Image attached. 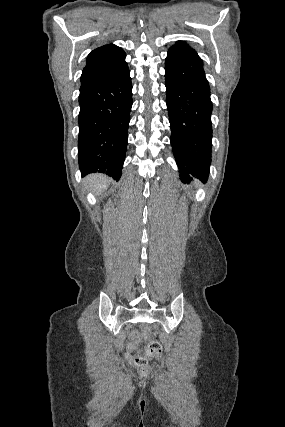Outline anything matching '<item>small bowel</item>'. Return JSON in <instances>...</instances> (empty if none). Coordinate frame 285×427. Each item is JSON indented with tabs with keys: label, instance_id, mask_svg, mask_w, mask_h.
<instances>
[{
	"label": "small bowel",
	"instance_id": "small-bowel-1",
	"mask_svg": "<svg viewBox=\"0 0 285 427\" xmlns=\"http://www.w3.org/2000/svg\"><path fill=\"white\" fill-rule=\"evenodd\" d=\"M135 344H136L135 338H132L128 343V347H127L128 353L126 354V358L128 361L132 360V355L129 352L134 348Z\"/></svg>",
	"mask_w": 285,
	"mask_h": 427
}]
</instances>
